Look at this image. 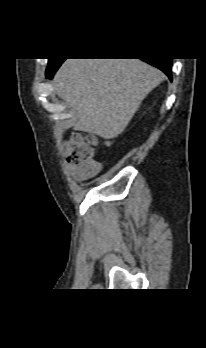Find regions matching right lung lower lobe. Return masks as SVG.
Here are the masks:
<instances>
[{"instance_id":"98d812e1","label":"right lung lower lobe","mask_w":206,"mask_h":348,"mask_svg":"<svg viewBox=\"0 0 206 348\" xmlns=\"http://www.w3.org/2000/svg\"><path fill=\"white\" fill-rule=\"evenodd\" d=\"M143 61L159 68L162 70L172 81V75H171V70H172V59L164 58V59H159V58H148V59H142ZM64 60H61L57 64L48 67L46 70V77L47 78H52L54 73L57 71L59 66L62 64Z\"/></svg>"}]
</instances>
